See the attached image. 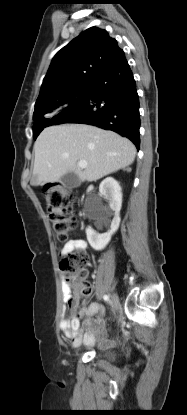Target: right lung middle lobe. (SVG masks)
Returning a JSON list of instances; mask_svg holds the SVG:
<instances>
[{
	"label": "right lung middle lobe",
	"mask_w": 187,
	"mask_h": 415,
	"mask_svg": "<svg viewBox=\"0 0 187 415\" xmlns=\"http://www.w3.org/2000/svg\"><path fill=\"white\" fill-rule=\"evenodd\" d=\"M90 82H87L83 85L74 87L65 92L62 97L53 104L35 108L33 119V134L34 139L40 134V132L47 126H51L53 123V118H48L51 114H56L61 110H64L71 102L82 96L83 94L89 92Z\"/></svg>",
	"instance_id": "dd1d6c3e"
}]
</instances>
